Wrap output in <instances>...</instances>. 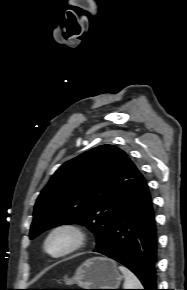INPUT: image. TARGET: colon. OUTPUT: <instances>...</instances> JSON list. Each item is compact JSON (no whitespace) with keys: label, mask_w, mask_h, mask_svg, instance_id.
<instances>
[{"label":"colon","mask_w":187,"mask_h":290,"mask_svg":"<svg viewBox=\"0 0 187 290\" xmlns=\"http://www.w3.org/2000/svg\"><path fill=\"white\" fill-rule=\"evenodd\" d=\"M31 290H78V289H31Z\"/></svg>","instance_id":"obj_1"}]
</instances>
